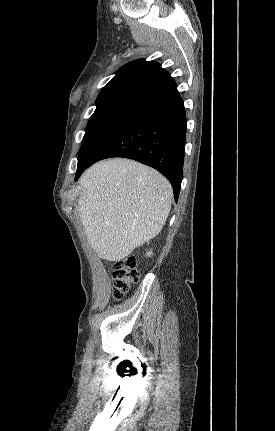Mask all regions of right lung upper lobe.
Here are the masks:
<instances>
[{"mask_svg":"<svg viewBox=\"0 0 275 431\" xmlns=\"http://www.w3.org/2000/svg\"><path fill=\"white\" fill-rule=\"evenodd\" d=\"M175 88V81L158 62L138 59L123 65L100 91L94 114L119 109L137 111Z\"/></svg>","mask_w":275,"mask_h":431,"instance_id":"right-lung-upper-lobe-1","label":"right lung upper lobe"}]
</instances>
